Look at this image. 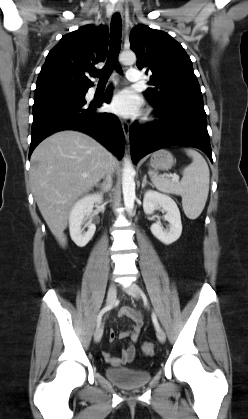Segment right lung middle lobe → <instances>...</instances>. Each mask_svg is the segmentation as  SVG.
<instances>
[{
  "instance_id": "1",
  "label": "right lung middle lobe",
  "mask_w": 248,
  "mask_h": 419,
  "mask_svg": "<svg viewBox=\"0 0 248 419\" xmlns=\"http://www.w3.org/2000/svg\"><path fill=\"white\" fill-rule=\"evenodd\" d=\"M86 92L87 90H84V91L70 90V91L59 92L53 95H68V96L84 97Z\"/></svg>"
}]
</instances>
